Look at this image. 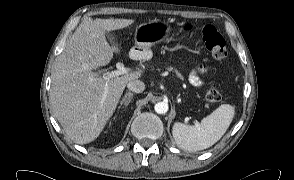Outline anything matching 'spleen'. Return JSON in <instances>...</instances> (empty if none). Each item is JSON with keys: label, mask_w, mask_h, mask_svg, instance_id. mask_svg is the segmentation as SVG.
<instances>
[{"label": "spleen", "mask_w": 294, "mask_h": 180, "mask_svg": "<svg viewBox=\"0 0 294 180\" xmlns=\"http://www.w3.org/2000/svg\"><path fill=\"white\" fill-rule=\"evenodd\" d=\"M233 116L234 107L223 104L194 125L174 123L172 134L176 144L182 149L204 150L221 139L230 126Z\"/></svg>", "instance_id": "spleen-1"}]
</instances>
